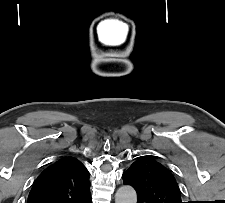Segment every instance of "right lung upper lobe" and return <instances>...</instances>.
Instances as JSON below:
<instances>
[{"mask_svg": "<svg viewBox=\"0 0 225 203\" xmlns=\"http://www.w3.org/2000/svg\"><path fill=\"white\" fill-rule=\"evenodd\" d=\"M91 198L89 172L74 157H63L36 179L27 203H86Z\"/></svg>", "mask_w": 225, "mask_h": 203, "instance_id": "obj_1", "label": "right lung upper lobe"}]
</instances>
